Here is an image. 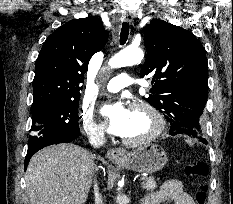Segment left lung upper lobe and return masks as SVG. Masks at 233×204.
<instances>
[{
	"label": "left lung upper lobe",
	"mask_w": 233,
	"mask_h": 204,
	"mask_svg": "<svg viewBox=\"0 0 233 204\" xmlns=\"http://www.w3.org/2000/svg\"><path fill=\"white\" fill-rule=\"evenodd\" d=\"M147 57L140 76L152 79L144 98L160 110L172 135L203 137L200 119L208 96V62L199 40L188 30L160 19L144 28ZM190 118V123L182 120Z\"/></svg>",
	"instance_id": "obj_1"
}]
</instances>
